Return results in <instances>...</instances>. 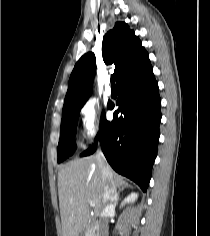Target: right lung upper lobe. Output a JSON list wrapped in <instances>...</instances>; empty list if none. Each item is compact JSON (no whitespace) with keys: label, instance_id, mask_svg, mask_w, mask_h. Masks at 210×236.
<instances>
[{"label":"right lung upper lobe","instance_id":"right-lung-upper-lobe-1","mask_svg":"<svg viewBox=\"0 0 210 236\" xmlns=\"http://www.w3.org/2000/svg\"><path fill=\"white\" fill-rule=\"evenodd\" d=\"M103 60L115 65L117 84L150 63L147 51L134 31L124 22H117L109 30L102 44ZM96 71L92 52L84 54L76 63L68 84L63 112L81 108L90 96V84Z\"/></svg>","mask_w":210,"mask_h":236}]
</instances>
